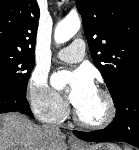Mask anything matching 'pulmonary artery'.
<instances>
[{
	"label": "pulmonary artery",
	"mask_w": 139,
	"mask_h": 150,
	"mask_svg": "<svg viewBox=\"0 0 139 150\" xmlns=\"http://www.w3.org/2000/svg\"><path fill=\"white\" fill-rule=\"evenodd\" d=\"M85 43L82 39L74 40L69 46L57 52V57L62 61L76 63L83 59Z\"/></svg>",
	"instance_id": "e3ab8cb5"
}]
</instances>
